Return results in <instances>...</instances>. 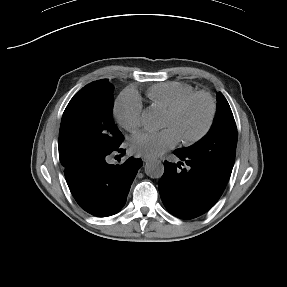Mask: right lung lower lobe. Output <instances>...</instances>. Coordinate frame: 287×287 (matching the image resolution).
<instances>
[{"instance_id": "1", "label": "right lung lower lobe", "mask_w": 287, "mask_h": 287, "mask_svg": "<svg viewBox=\"0 0 287 287\" xmlns=\"http://www.w3.org/2000/svg\"><path fill=\"white\" fill-rule=\"evenodd\" d=\"M112 152H125L117 147L99 155L85 158L65 170L69 189L77 203L88 213L107 217L120 211L130 186L142 166L141 159L130 157L123 164H108Z\"/></svg>"}]
</instances>
